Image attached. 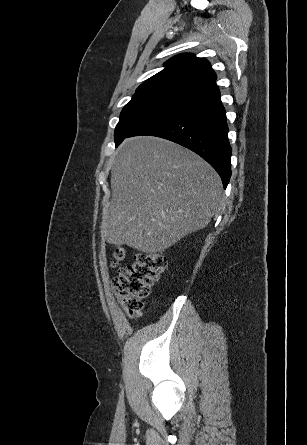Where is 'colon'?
Masks as SVG:
<instances>
[{"label": "colon", "mask_w": 307, "mask_h": 445, "mask_svg": "<svg viewBox=\"0 0 307 445\" xmlns=\"http://www.w3.org/2000/svg\"><path fill=\"white\" fill-rule=\"evenodd\" d=\"M126 256L125 248L116 247L112 265L117 266L126 259ZM166 263V258L160 253H139L131 264L119 269L114 279V290L129 317L141 316L142 299L149 295L151 287L158 281Z\"/></svg>", "instance_id": "5ec220e1"}]
</instances>
